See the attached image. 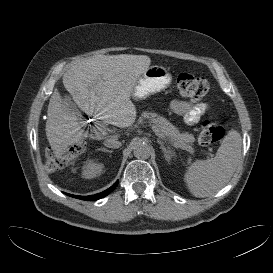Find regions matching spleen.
I'll return each instance as SVG.
<instances>
[{"mask_svg":"<svg viewBox=\"0 0 273 273\" xmlns=\"http://www.w3.org/2000/svg\"><path fill=\"white\" fill-rule=\"evenodd\" d=\"M242 140L237 130H230L216 156L194 162L184 175V181L195 197H208L219 191L233 176L241 157Z\"/></svg>","mask_w":273,"mask_h":273,"instance_id":"1","label":"spleen"}]
</instances>
